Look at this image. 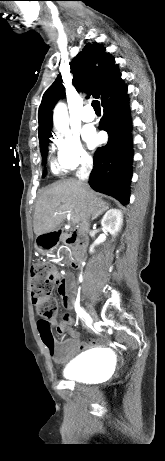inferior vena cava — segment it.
Wrapping results in <instances>:
<instances>
[{"label":"inferior vena cava","mask_w":165,"mask_h":461,"mask_svg":"<svg viewBox=\"0 0 165 461\" xmlns=\"http://www.w3.org/2000/svg\"><path fill=\"white\" fill-rule=\"evenodd\" d=\"M92 166H93L92 159L89 156L84 157L83 162H82V168L78 172V176L86 186L88 185L86 183V180H88L89 173L92 169Z\"/></svg>","instance_id":"602c4592"}]
</instances>
